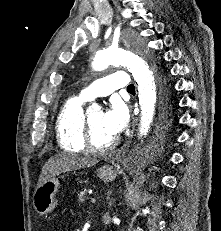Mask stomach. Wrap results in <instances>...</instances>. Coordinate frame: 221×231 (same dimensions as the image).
<instances>
[{
	"instance_id": "1",
	"label": "stomach",
	"mask_w": 221,
	"mask_h": 231,
	"mask_svg": "<svg viewBox=\"0 0 221 231\" xmlns=\"http://www.w3.org/2000/svg\"><path fill=\"white\" fill-rule=\"evenodd\" d=\"M98 177L104 182H112L117 177L113 166L105 164L97 170ZM60 187L59 180L52 177L39 186L33 194V207L40 215H45L54 210L57 205L56 193Z\"/></svg>"
}]
</instances>
